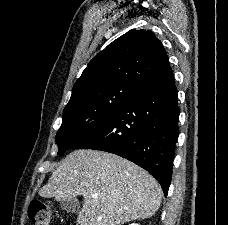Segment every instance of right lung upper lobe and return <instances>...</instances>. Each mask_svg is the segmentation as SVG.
<instances>
[{
    "mask_svg": "<svg viewBox=\"0 0 228 225\" xmlns=\"http://www.w3.org/2000/svg\"><path fill=\"white\" fill-rule=\"evenodd\" d=\"M168 64L161 41L151 31L132 29L90 61L74 84L69 102L84 91L104 84L122 82L139 88Z\"/></svg>",
    "mask_w": 228,
    "mask_h": 225,
    "instance_id": "obj_1",
    "label": "right lung upper lobe"
}]
</instances>
